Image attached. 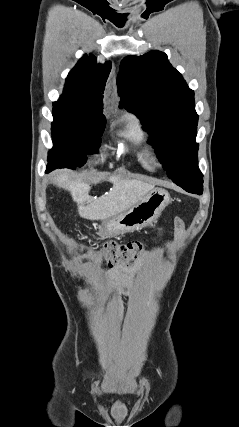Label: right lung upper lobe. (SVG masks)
<instances>
[{"label":"right lung upper lobe","mask_w":239,"mask_h":427,"mask_svg":"<svg viewBox=\"0 0 239 427\" xmlns=\"http://www.w3.org/2000/svg\"><path fill=\"white\" fill-rule=\"evenodd\" d=\"M111 70V63L97 64L93 55L81 58L66 78L63 94L53 106L102 113L103 91Z\"/></svg>","instance_id":"obj_1"}]
</instances>
